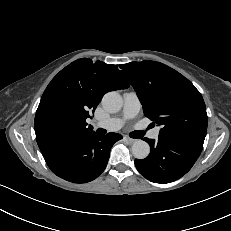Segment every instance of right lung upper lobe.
<instances>
[{
  "mask_svg": "<svg viewBox=\"0 0 231 231\" xmlns=\"http://www.w3.org/2000/svg\"><path fill=\"white\" fill-rule=\"evenodd\" d=\"M117 65L78 59L62 69L45 89L35 116L40 150L94 133L86 119L105 93L128 88Z\"/></svg>",
  "mask_w": 231,
  "mask_h": 231,
  "instance_id": "obj_1",
  "label": "right lung upper lobe"
}]
</instances>
